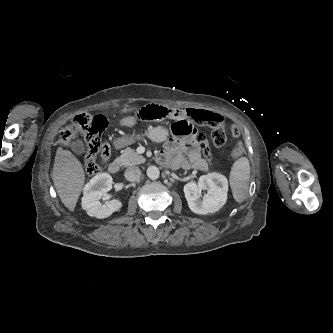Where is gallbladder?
<instances>
[{
	"mask_svg": "<svg viewBox=\"0 0 333 333\" xmlns=\"http://www.w3.org/2000/svg\"><path fill=\"white\" fill-rule=\"evenodd\" d=\"M75 152H82L83 149L80 145H77L75 148H74Z\"/></svg>",
	"mask_w": 333,
	"mask_h": 333,
	"instance_id": "1",
	"label": "gallbladder"
}]
</instances>
